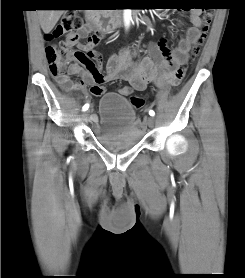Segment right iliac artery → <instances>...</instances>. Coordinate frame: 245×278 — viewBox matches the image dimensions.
<instances>
[{"label":"right iliac artery","mask_w":245,"mask_h":278,"mask_svg":"<svg viewBox=\"0 0 245 278\" xmlns=\"http://www.w3.org/2000/svg\"><path fill=\"white\" fill-rule=\"evenodd\" d=\"M89 108V104H85L82 108L83 111H86Z\"/></svg>","instance_id":"82829eb1"}]
</instances>
